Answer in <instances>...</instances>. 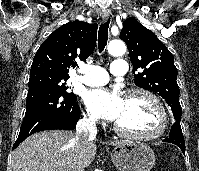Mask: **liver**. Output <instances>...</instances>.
I'll return each instance as SVG.
<instances>
[{
    "label": "liver",
    "instance_id": "6515ba94",
    "mask_svg": "<svg viewBox=\"0 0 199 171\" xmlns=\"http://www.w3.org/2000/svg\"><path fill=\"white\" fill-rule=\"evenodd\" d=\"M121 141L111 142L116 146ZM93 141L81 144L72 131L53 130L31 135L12 154L11 171H74L75 160L88 166L96 155Z\"/></svg>",
    "mask_w": 199,
    "mask_h": 171
}]
</instances>
